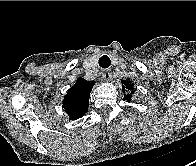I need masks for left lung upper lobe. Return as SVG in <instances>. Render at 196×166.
<instances>
[{
	"mask_svg": "<svg viewBox=\"0 0 196 166\" xmlns=\"http://www.w3.org/2000/svg\"><path fill=\"white\" fill-rule=\"evenodd\" d=\"M122 85H123V87H122L123 92L129 91V90H132L133 89V84L131 82H128V81L123 80L122 81ZM131 94H132V92H129L128 94L125 95L124 98H125V100L127 102H130V100L132 98V95Z\"/></svg>",
	"mask_w": 196,
	"mask_h": 166,
	"instance_id": "1",
	"label": "left lung upper lobe"
}]
</instances>
